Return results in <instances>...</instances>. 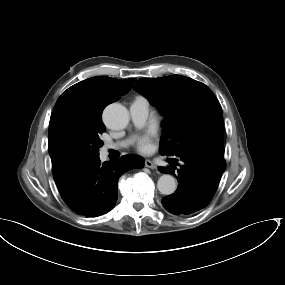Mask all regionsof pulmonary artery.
<instances>
[{
    "label": "pulmonary artery",
    "mask_w": 285,
    "mask_h": 285,
    "mask_svg": "<svg viewBox=\"0 0 285 285\" xmlns=\"http://www.w3.org/2000/svg\"><path fill=\"white\" fill-rule=\"evenodd\" d=\"M129 112L135 126L141 127L145 124L149 115V102L145 97H136L129 105ZM126 145L125 141L108 142L104 145V152L118 150Z\"/></svg>",
    "instance_id": "pulmonary-artery-1"
}]
</instances>
